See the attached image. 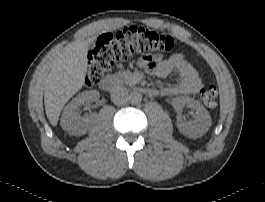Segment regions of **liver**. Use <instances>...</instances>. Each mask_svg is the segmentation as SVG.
<instances>
[{
	"label": "liver",
	"instance_id": "liver-1",
	"mask_svg": "<svg viewBox=\"0 0 265 202\" xmlns=\"http://www.w3.org/2000/svg\"><path fill=\"white\" fill-rule=\"evenodd\" d=\"M93 41L89 38L69 43L53 61L44 91L45 112L53 126L57 125L65 104L85 83L87 52Z\"/></svg>",
	"mask_w": 265,
	"mask_h": 202
}]
</instances>
